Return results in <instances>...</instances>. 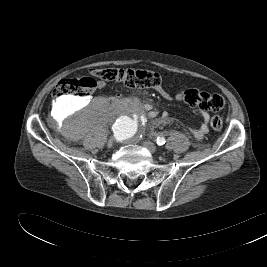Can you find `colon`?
Instances as JSON below:
<instances>
[{
	"instance_id": "1",
	"label": "colon",
	"mask_w": 267,
	"mask_h": 267,
	"mask_svg": "<svg viewBox=\"0 0 267 267\" xmlns=\"http://www.w3.org/2000/svg\"><path fill=\"white\" fill-rule=\"evenodd\" d=\"M96 78L101 81L120 83L128 88H157L161 84L159 73L146 69L136 68H96L91 71V76L81 78L62 79L52 91L55 98L89 96L97 86ZM183 101L191 107L201 110L221 111L225 107V100L219 94L209 93L199 89H187L182 93ZM212 129L221 131L222 119L212 117Z\"/></svg>"
}]
</instances>
